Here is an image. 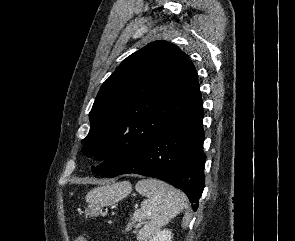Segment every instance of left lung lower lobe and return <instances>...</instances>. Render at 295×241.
Returning <instances> with one entry per match:
<instances>
[{
	"mask_svg": "<svg viewBox=\"0 0 295 241\" xmlns=\"http://www.w3.org/2000/svg\"><path fill=\"white\" fill-rule=\"evenodd\" d=\"M203 104L149 140L108 177L135 173L181 189L197 210L204 189Z\"/></svg>",
	"mask_w": 295,
	"mask_h": 241,
	"instance_id": "obj_1",
	"label": "left lung lower lobe"
}]
</instances>
